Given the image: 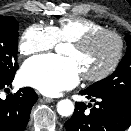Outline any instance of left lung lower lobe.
<instances>
[{
  "mask_svg": "<svg viewBox=\"0 0 131 131\" xmlns=\"http://www.w3.org/2000/svg\"><path fill=\"white\" fill-rule=\"evenodd\" d=\"M96 107L85 112L86 105L75 104L73 116L65 122L67 131H124L131 125V103L115 97L93 95L86 90L80 92Z\"/></svg>",
  "mask_w": 131,
  "mask_h": 131,
  "instance_id": "1",
  "label": "left lung lower lobe"
}]
</instances>
